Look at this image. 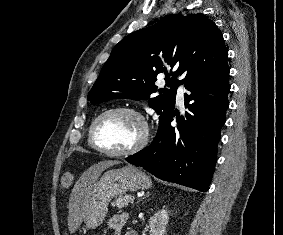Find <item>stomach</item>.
<instances>
[{
	"label": "stomach",
	"instance_id": "0dacf381",
	"mask_svg": "<svg viewBox=\"0 0 283 235\" xmlns=\"http://www.w3.org/2000/svg\"><path fill=\"white\" fill-rule=\"evenodd\" d=\"M151 181L138 168L128 165L106 171L94 184L84 208L88 228H97L105 218L110 200L127 191L149 188Z\"/></svg>",
	"mask_w": 283,
	"mask_h": 235
}]
</instances>
